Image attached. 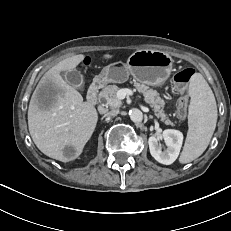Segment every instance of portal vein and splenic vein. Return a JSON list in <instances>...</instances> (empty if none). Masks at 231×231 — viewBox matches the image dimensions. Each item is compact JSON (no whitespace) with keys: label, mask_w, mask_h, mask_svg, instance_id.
I'll return each mask as SVG.
<instances>
[{"label":"portal vein and splenic vein","mask_w":231,"mask_h":231,"mask_svg":"<svg viewBox=\"0 0 231 231\" xmlns=\"http://www.w3.org/2000/svg\"><path fill=\"white\" fill-rule=\"evenodd\" d=\"M132 94H133V91H132L131 89L123 88V89L118 90V92L116 93V97H117L119 100H122V99H124L127 95H132Z\"/></svg>","instance_id":"18ae733b"}]
</instances>
